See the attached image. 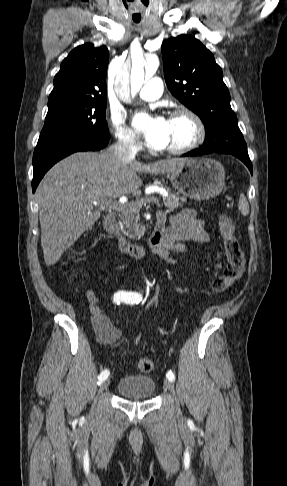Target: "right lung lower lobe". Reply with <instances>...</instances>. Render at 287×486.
I'll use <instances>...</instances> for the list:
<instances>
[{
    "label": "right lung lower lobe",
    "mask_w": 287,
    "mask_h": 486,
    "mask_svg": "<svg viewBox=\"0 0 287 486\" xmlns=\"http://www.w3.org/2000/svg\"><path fill=\"white\" fill-rule=\"evenodd\" d=\"M109 137L100 141H70L47 146H37L33 155L32 190L35 192L44 174L59 160L78 151H97L108 144Z\"/></svg>",
    "instance_id": "98d812e1"
}]
</instances>
